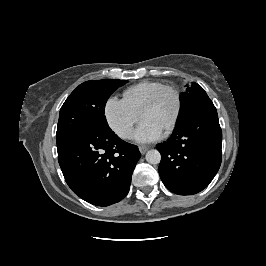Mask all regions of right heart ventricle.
<instances>
[{"mask_svg": "<svg viewBox=\"0 0 266 266\" xmlns=\"http://www.w3.org/2000/svg\"><path fill=\"white\" fill-rule=\"evenodd\" d=\"M163 85V83L158 81H141L124 91L123 100L132 109L140 113L144 103L148 100L152 93Z\"/></svg>", "mask_w": 266, "mask_h": 266, "instance_id": "right-heart-ventricle-1", "label": "right heart ventricle"}]
</instances>
